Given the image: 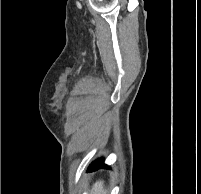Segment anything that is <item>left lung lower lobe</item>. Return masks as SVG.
<instances>
[{"label": "left lung lower lobe", "instance_id": "obj_1", "mask_svg": "<svg viewBox=\"0 0 201 194\" xmlns=\"http://www.w3.org/2000/svg\"><path fill=\"white\" fill-rule=\"evenodd\" d=\"M104 167H107L104 163H103V160L102 159H99L97 160L96 162H93L90 167H89V172L91 171H95L99 168H104Z\"/></svg>", "mask_w": 201, "mask_h": 194}]
</instances>
